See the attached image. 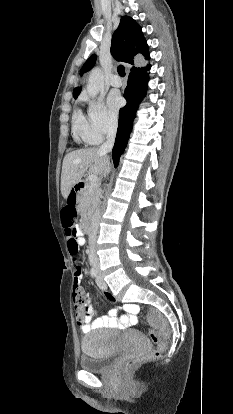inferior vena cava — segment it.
<instances>
[{"mask_svg":"<svg viewBox=\"0 0 233 414\" xmlns=\"http://www.w3.org/2000/svg\"><path fill=\"white\" fill-rule=\"evenodd\" d=\"M118 127V121L117 119H113L109 122L108 129H107V140L105 143H103L99 148V153L101 154H107L112 151V148L114 146L116 132ZM110 172V166L108 165L107 168L104 170L103 175L104 177L108 175ZM100 203V201H99ZM99 220H100V209L99 207L96 208L93 216H92V225L94 227V230L89 233V252L88 257L90 258V262L94 265H99V260L96 256V253H98L97 247V241L98 238L96 237V232L99 227Z\"/></svg>","mask_w":233,"mask_h":414,"instance_id":"602c4592","label":"inferior vena cava"}]
</instances>
